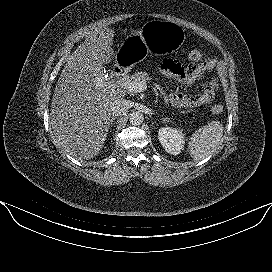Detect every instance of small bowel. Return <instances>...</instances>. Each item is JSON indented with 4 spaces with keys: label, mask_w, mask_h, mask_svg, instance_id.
I'll return each mask as SVG.
<instances>
[{
    "label": "small bowel",
    "mask_w": 272,
    "mask_h": 272,
    "mask_svg": "<svg viewBox=\"0 0 272 272\" xmlns=\"http://www.w3.org/2000/svg\"><path fill=\"white\" fill-rule=\"evenodd\" d=\"M214 66V61L211 58L204 59L198 64L182 67L173 60H164L161 63L162 73L169 78H174L185 86H191L205 72L210 71ZM218 85L215 79L203 85L202 90L195 95L185 94L182 92H174L169 96V103L176 108H196L210 103L216 94Z\"/></svg>",
    "instance_id": "obj_1"
}]
</instances>
